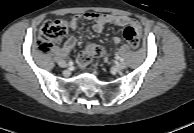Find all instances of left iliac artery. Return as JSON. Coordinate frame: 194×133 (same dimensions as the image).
Listing matches in <instances>:
<instances>
[{
  "label": "left iliac artery",
  "mask_w": 194,
  "mask_h": 133,
  "mask_svg": "<svg viewBox=\"0 0 194 133\" xmlns=\"http://www.w3.org/2000/svg\"><path fill=\"white\" fill-rule=\"evenodd\" d=\"M117 60H120L121 62H123V58L119 57V56H116L115 57Z\"/></svg>",
  "instance_id": "1"
}]
</instances>
